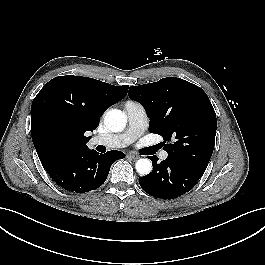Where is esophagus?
Here are the masks:
<instances>
[{
	"label": "esophagus",
	"mask_w": 265,
	"mask_h": 265,
	"mask_svg": "<svg viewBox=\"0 0 265 265\" xmlns=\"http://www.w3.org/2000/svg\"><path fill=\"white\" fill-rule=\"evenodd\" d=\"M127 156H128L129 158L133 159V160H136V159L139 158V156L136 155V154H134V153H128Z\"/></svg>",
	"instance_id": "34e87169"
}]
</instances>
